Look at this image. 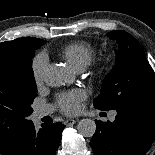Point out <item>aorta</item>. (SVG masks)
Masks as SVG:
<instances>
[{"label":"aorta","instance_id":"1","mask_svg":"<svg viewBox=\"0 0 155 155\" xmlns=\"http://www.w3.org/2000/svg\"><path fill=\"white\" fill-rule=\"evenodd\" d=\"M70 80V71L64 64L49 65L44 72V81L50 87H59ZM78 132L84 137H92L96 132V123L92 119H82L77 125Z\"/></svg>","mask_w":155,"mask_h":155}]
</instances>
